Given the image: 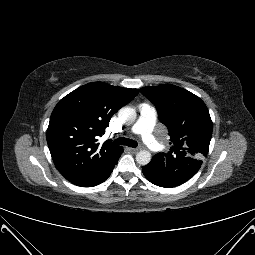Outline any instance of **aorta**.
Masks as SVG:
<instances>
[{
    "label": "aorta",
    "instance_id": "1",
    "mask_svg": "<svg viewBox=\"0 0 255 255\" xmlns=\"http://www.w3.org/2000/svg\"><path fill=\"white\" fill-rule=\"evenodd\" d=\"M121 120L126 123H132L136 119V112L134 109L126 107L120 112ZM136 161L140 165H147L151 161V153L148 150H140L136 154Z\"/></svg>",
    "mask_w": 255,
    "mask_h": 255
}]
</instances>
